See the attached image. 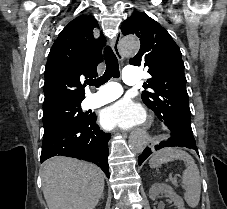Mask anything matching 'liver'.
I'll list each match as a JSON object with an SVG mask.
<instances>
[{"mask_svg": "<svg viewBox=\"0 0 227 209\" xmlns=\"http://www.w3.org/2000/svg\"><path fill=\"white\" fill-rule=\"evenodd\" d=\"M41 177L48 209H95L103 195L104 175L91 163L53 157L44 163Z\"/></svg>", "mask_w": 227, "mask_h": 209, "instance_id": "liver-1", "label": "liver"}]
</instances>
